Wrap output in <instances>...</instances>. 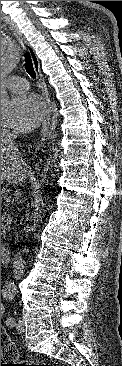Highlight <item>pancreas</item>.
Wrapping results in <instances>:
<instances>
[{"mask_svg":"<svg viewBox=\"0 0 122 366\" xmlns=\"http://www.w3.org/2000/svg\"><path fill=\"white\" fill-rule=\"evenodd\" d=\"M7 198V189L5 187H2L1 188V202L3 201V199H6ZM7 225L4 224V216H1V230L4 231L6 230L7 228ZM1 235H2V232H1Z\"/></svg>","mask_w":122,"mask_h":366,"instance_id":"cf45deb5","label":"pancreas"}]
</instances>
